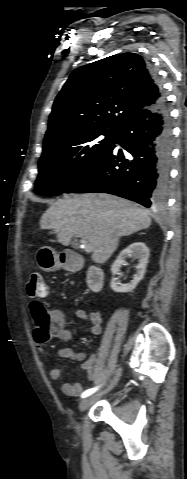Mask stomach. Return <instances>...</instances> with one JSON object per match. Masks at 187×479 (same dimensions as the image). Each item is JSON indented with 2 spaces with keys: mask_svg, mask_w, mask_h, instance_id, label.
I'll use <instances>...</instances> for the list:
<instances>
[{
  "mask_svg": "<svg viewBox=\"0 0 187 479\" xmlns=\"http://www.w3.org/2000/svg\"><path fill=\"white\" fill-rule=\"evenodd\" d=\"M37 264L42 270L47 272L59 270L63 266L60 255L48 246H43L38 250Z\"/></svg>",
  "mask_w": 187,
  "mask_h": 479,
  "instance_id": "obj_1",
  "label": "stomach"
}]
</instances>
